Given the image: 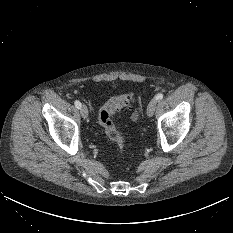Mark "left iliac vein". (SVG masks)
I'll return each mask as SVG.
<instances>
[{
	"mask_svg": "<svg viewBox=\"0 0 233 233\" xmlns=\"http://www.w3.org/2000/svg\"><path fill=\"white\" fill-rule=\"evenodd\" d=\"M157 101L156 99H152L148 106H147V115L151 117L154 114L155 108H156Z\"/></svg>",
	"mask_w": 233,
	"mask_h": 233,
	"instance_id": "left-iliac-vein-1",
	"label": "left iliac vein"
}]
</instances>
